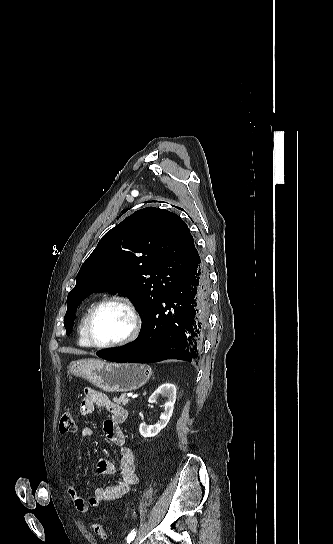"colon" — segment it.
<instances>
[{
    "label": "colon",
    "mask_w": 333,
    "mask_h": 544,
    "mask_svg": "<svg viewBox=\"0 0 333 544\" xmlns=\"http://www.w3.org/2000/svg\"><path fill=\"white\" fill-rule=\"evenodd\" d=\"M76 429L75 418L72 412H65L59 421V431L61 433L74 432ZM93 532L101 539H108L109 533L106 527L100 523H93L91 525Z\"/></svg>",
    "instance_id": "obj_1"
}]
</instances>
